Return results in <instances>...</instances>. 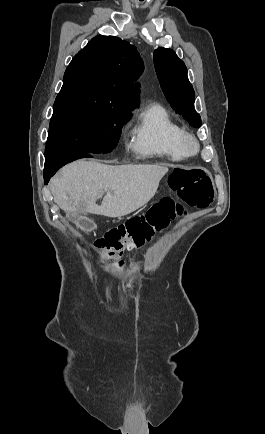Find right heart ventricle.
I'll use <instances>...</instances> for the list:
<instances>
[{"instance_id":"obj_1","label":"right heart ventricle","mask_w":265,"mask_h":434,"mask_svg":"<svg viewBox=\"0 0 265 434\" xmlns=\"http://www.w3.org/2000/svg\"><path fill=\"white\" fill-rule=\"evenodd\" d=\"M130 147L139 155L154 156L171 164H181L179 138L185 130L174 121L168 109L151 101L138 108L132 118Z\"/></svg>"}]
</instances>
